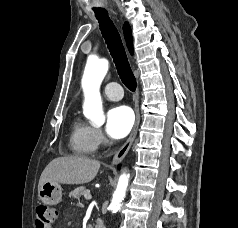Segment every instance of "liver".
I'll return each instance as SVG.
<instances>
[{"instance_id": "liver-1", "label": "liver", "mask_w": 238, "mask_h": 228, "mask_svg": "<svg viewBox=\"0 0 238 228\" xmlns=\"http://www.w3.org/2000/svg\"><path fill=\"white\" fill-rule=\"evenodd\" d=\"M100 168V161L83 156L59 157L43 170L38 191L45 182L62 184H85L92 181Z\"/></svg>"}]
</instances>
